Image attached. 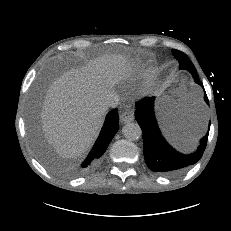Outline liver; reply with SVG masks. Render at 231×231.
Wrapping results in <instances>:
<instances>
[{
    "label": "liver",
    "mask_w": 231,
    "mask_h": 231,
    "mask_svg": "<svg viewBox=\"0 0 231 231\" xmlns=\"http://www.w3.org/2000/svg\"><path fill=\"white\" fill-rule=\"evenodd\" d=\"M123 55L104 54L71 69L48 88L40 113L46 140L63 158H76L97 139L108 108L107 95L130 75ZM33 143V133L31 131Z\"/></svg>",
    "instance_id": "6515ba94"
}]
</instances>
